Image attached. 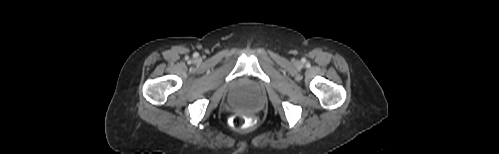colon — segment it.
<instances>
[{
	"label": "colon",
	"mask_w": 499,
	"mask_h": 154,
	"mask_svg": "<svg viewBox=\"0 0 499 154\" xmlns=\"http://www.w3.org/2000/svg\"><path fill=\"white\" fill-rule=\"evenodd\" d=\"M253 119L244 115H234L231 119V126L237 130H242L249 127Z\"/></svg>",
	"instance_id": "obj_1"
}]
</instances>
